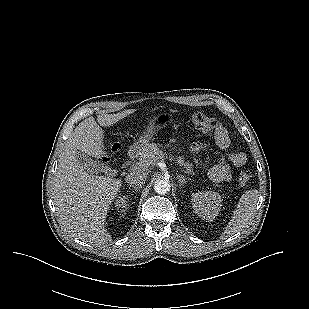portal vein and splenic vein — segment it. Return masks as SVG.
Listing matches in <instances>:
<instances>
[{
    "instance_id": "portal-vein-and-splenic-vein-1",
    "label": "portal vein and splenic vein",
    "mask_w": 309,
    "mask_h": 309,
    "mask_svg": "<svg viewBox=\"0 0 309 309\" xmlns=\"http://www.w3.org/2000/svg\"><path fill=\"white\" fill-rule=\"evenodd\" d=\"M137 165H138L139 167H144V166H146V165H144L142 162H139Z\"/></svg>"
}]
</instances>
